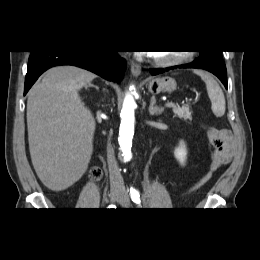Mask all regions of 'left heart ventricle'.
<instances>
[{
	"label": "left heart ventricle",
	"mask_w": 260,
	"mask_h": 260,
	"mask_svg": "<svg viewBox=\"0 0 260 260\" xmlns=\"http://www.w3.org/2000/svg\"><path fill=\"white\" fill-rule=\"evenodd\" d=\"M154 55L156 57H159V58H162V59H167V58H170V57H174L176 54L173 53V52H157V53H154Z\"/></svg>",
	"instance_id": "b2bd125f"
}]
</instances>
